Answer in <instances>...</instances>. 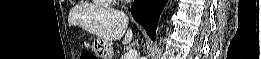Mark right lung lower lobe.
<instances>
[{
	"label": "right lung lower lobe",
	"instance_id": "98d812e1",
	"mask_svg": "<svg viewBox=\"0 0 261 59\" xmlns=\"http://www.w3.org/2000/svg\"><path fill=\"white\" fill-rule=\"evenodd\" d=\"M166 3L167 0H135L131 6L133 18L143 26L153 40L158 19Z\"/></svg>",
	"mask_w": 261,
	"mask_h": 59
}]
</instances>
